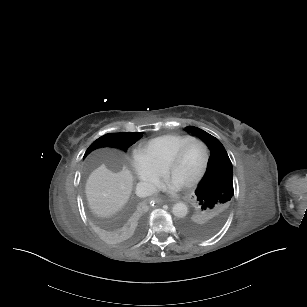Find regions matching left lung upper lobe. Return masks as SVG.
Returning a JSON list of instances; mask_svg holds the SVG:
<instances>
[{"label": "left lung upper lobe", "instance_id": "5c2ea615", "mask_svg": "<svg viewBox=\"0 0 307 307\" xmlns=\"http://www.w3.org/2000/svg\"><path fill=\"white\" fill-rule=\"evenodd\" d=\"M187 130L206 143L210 158L206 173L195 191L194 214L184 219L180 226L191 237L207 238L215 234L226 220L234 195L232 163L217 138L197 127H187Z\"/></svg>", "mask_w": 307, "mask_h": 307}]
</instances>
